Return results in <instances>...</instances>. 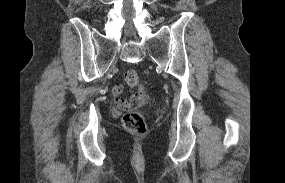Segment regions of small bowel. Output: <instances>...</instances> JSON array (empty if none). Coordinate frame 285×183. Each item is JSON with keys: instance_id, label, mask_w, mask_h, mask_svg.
<instances>
[{"instance_id": "obj_1", "label": "small bowel", "mask_w": 285, "mask_h": 183, "mask_svg": "<svg viewBox=\"0 0 285 183\" xmlns=\"http://www.w3.org/2000/svg\"><path fill=\"white\" fill-rule=\"evenodd\" d=\"M122 93H123V86L120 83L115 84L112 87V94L115 97L116 100V104L123 109H126L128 107L129 104V100H127L126 98L122 97Z\"/></svg>"}]
</instances>
